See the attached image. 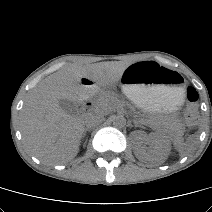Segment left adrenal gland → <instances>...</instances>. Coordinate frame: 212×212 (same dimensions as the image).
<instances>
[{
  "label": "left adrenal gland",
  "mask_w": 212,
  "mask_h": 212,
  "mask_svg": "<svg viewBox=\"0 0 212 212\" xmlns=\"http://www.w3.org/2000/svg\"><path fill=\"white\" fill-rule=\"evenodd\" d=\"M134 124H135L136 127H139L138 123L135 122Z\"/></svg>",
  "instance_id": "1"
}]
</instances>
